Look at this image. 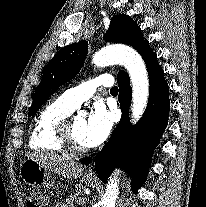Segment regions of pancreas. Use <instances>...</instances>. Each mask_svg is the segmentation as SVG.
<instances>
[{"label": "pancreas", "mask_w": 206, "mask_h": 207, "mask_svg": "<svg viewBox=\"0 0 206 207\" xmlns=\"http://www.w3.org/2000/svg\"><path fill=\"white\" fill-rule=\"evenodd\" d=\"M80 197H76L75 195L70 196L69 199L66 200V203L64 202H58L54 207H74V205H80Z\"/></svg>", "instance_id": "obj_1"}]
</instances>
